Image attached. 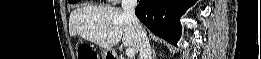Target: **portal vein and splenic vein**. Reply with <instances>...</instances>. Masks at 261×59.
<instances>
[{
	"instance_id": "obj_1",
	"label": "portal vein and splenic vein",
	"mask_w": 261,
	"mask_h": 59,
	"mask_svg": "<svg viewBox=\"0 0 261 59\" xmlns=\"http://www.w3.org/2000/svg\"><path fill=\"white\" fill-rule=\"evenodd\" d=\"M126 55L129 57V58H132L135 56V50L133 48H127L126 49Z\"/></svg>"
}]
</instances>
